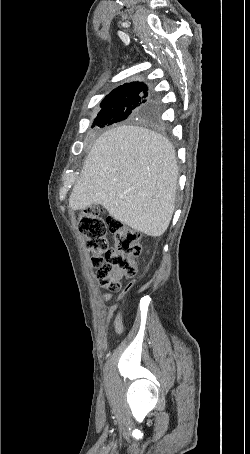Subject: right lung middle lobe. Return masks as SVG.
<instances>
[{
	"mask_svg": "<svg viewBox=\"0 0 250 454\" xmlns=\"http://www.w3.org/2000/svg\"><path fill=\"white\" fill-rule=\"evenodd\" d=\"M157 102L146 85L136 86L119 96L104 98L92 127H104L120 121L154 123L158 119L153 104Z\"/></svg>",
	"mask_w": 250,
	"mask_h": 454,
	"instance_id": "1",
	"label": "right lung middle lobe"
}]
</instances>
